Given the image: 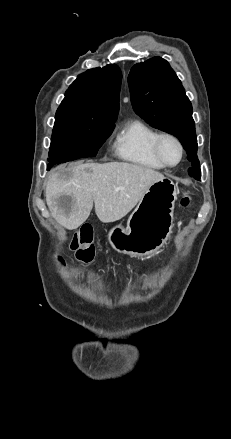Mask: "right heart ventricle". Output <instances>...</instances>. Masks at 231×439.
Instances as JSON below:
<instances>
[{"label":"right heart ventricle","instance_id":"1","mask_svg":"<svg viewBox=\"0 0 231 439\" xmlns=\"http://www.w3.org/2000/svg\"><path fill=\"white\" fill-rule=\"evenodd\" d=\"M158 132L141 120L123 124L114 141V152L122 160L149 170L165 167L153 153V141Z\"/></svg>","mask_w":231,"mask_h":439}]
</instances>
